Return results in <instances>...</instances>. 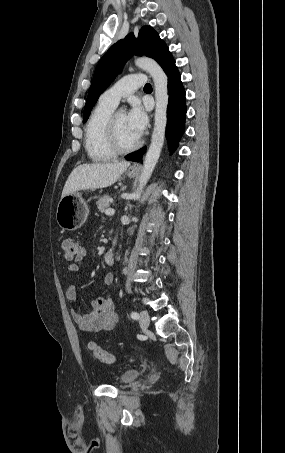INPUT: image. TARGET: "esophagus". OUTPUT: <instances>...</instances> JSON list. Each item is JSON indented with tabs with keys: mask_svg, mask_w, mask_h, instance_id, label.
<instances>
[{
	"mask_svg": "<svg viewBox=\"0 0 285 453\" xmlns=\"http://www.w3.org/2000/svg\"><path fill=\"white\" fill-rule=\"evenodd\" d=\"M132 168H133V169H137V168H138V165L134 164V165L132 166Z\"/></svg>",
	"mask_w": 285,
	"mask_h": 453,
	"instance_id": "obj_1",
	"label": "esophagus"
}]
</instances>
